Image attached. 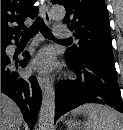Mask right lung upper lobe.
<instances>
[{
	"label": "right lung upper lobe",
	"mask_w": 123,
	"mask_h": 130,
	"mask_svg": "<svg viewBox=\"0 0 123 130\" xmlns=\"http://www.w3.org/2000/svg\"><path fill=\"white\" fill-rule=\"evenodd\" d=\"M34 2L35 0H1V45L19 39L21 30L26 28L23 19L34 18L37 14L38 8L33 7Z\"/></svg>",
	"instance_id": "cb5924a9"
}]
</instances>
